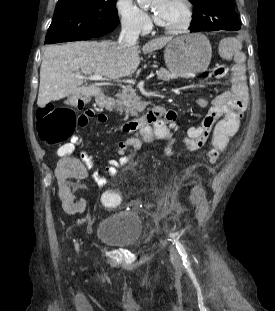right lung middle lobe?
Here are the masks:
<instances>
[{
    "label": "right lung middle lobe",
    "instance_id": "obj_1",
    "mask_svg": "<svg viewBox=\"0 0 275 311\" xmlns=\"http://www.w3.org/2000/svg\"><path fill=\"white\" fill-rule=\"evenodd\" d=\"M117 0H58L45 44L82 35L101 36L115 29Z\"/></svg>",
    "mask_w": 275,
    "mask_h": 311
}]
</instances>
